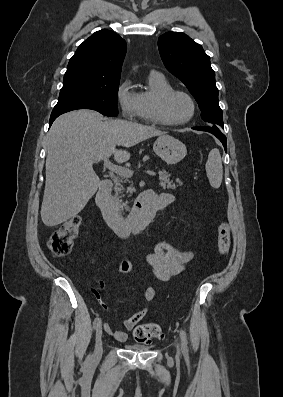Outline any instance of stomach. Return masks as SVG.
Returning <instances> with one entry per match:
<instances>
[{
    "mask_svg": "<svg viewBox=\"0 0 283 397\" xmlns=\"http://www.w3.org/2000/svg\"><path fill=\"white\" fill-rule=\"evenodd\" d=\"M153 150L168 165L180 162L187 154L185 144L170 135L159 136Z\"/></svg>",
    "mask_w": 283,
    "mask_h": 397,
    "instance_id": "1",
    "label": "stomach"
}]
</instances>
